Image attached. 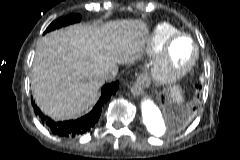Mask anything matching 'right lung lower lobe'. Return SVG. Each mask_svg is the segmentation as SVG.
Wrapping results in <instances>:
<instances>
[{
    "mask_svg": "<svg viewBox=\"0 0 240 160\" xmlns=\"http://www.w3.org/2000/svg\"><path fill=\"white\" fill-rule=\"evenodd\" d=\"M118 87V81L104 85L102 87L101 97L92 111L76 120L56 122L43 115L37 106L35 108V114L39 117L42 124L55 135L61 137L79 136L89 131L96 124L101 115L103 105L116 93ZM33 105H35L34 102Z\"/></svg>",
    "mask_w": 240,
    "mask_h": 160,
    "instance_id": "98d812e1",
    "label": "right lung lower lobe"
}]
</instances>
